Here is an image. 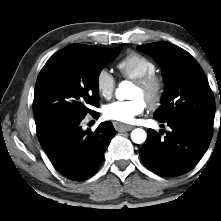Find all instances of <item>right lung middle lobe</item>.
Returning a JSON list of instances; mask_svg holds the SVG:
<instances>
[{"label":"right lung middle lobe","instance_id":"right-lung-middle-lobe-1","mask_svg":"<svg viewBox=\"0 0 221 221\" xmlns=\"http://www.w3.org/2000/svg\"><path fill=\"white\" fill-rule=\"evenodd\" d=\"M122 46L109 50L64 48L44 65L35 85L34 116L38 139L60 123L92 114L97 106L98 76Z\"/></svg>","mask_w":221,"mask_h":221}]
</instances>
